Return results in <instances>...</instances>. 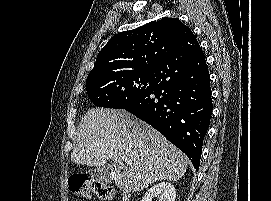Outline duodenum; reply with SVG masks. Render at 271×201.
<instances>
[{"label":"duodenum","mask_w":271,"mask_h":201,"mask_svg":"<svg viewBox=\"0 0 271 201\" xmlns=\"http://www.w3.org/2000/svg\"><path fill=\"white\" fill-rule=\"evenodd\" d=\"M131 199V194L127 190H122L121 191V201H130Z\"/></svg>","instance_id":"obj_1"}]
</instances>
